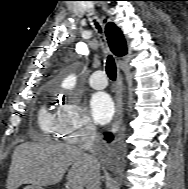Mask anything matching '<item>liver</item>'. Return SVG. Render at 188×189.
Returning <instances> with one entry per match:
<instances>
[{
  "mask_svg": "<svg viewBox=\"0 0 188 189\" xmlns=\"http://www.w3.org/2000/svg\"><path fill=\"white\" fill-rule=\"evenodd\" d=\"M69 166L67 184L72 189H84L93 164L79 147L54 142L22 143L13 152L7 189H17L23 184L38 189L54 185L60 182Z\"/></svg>",
  "mask_w": 188,
  "mask_h": 189,
  "instance_id": "obj_1",
  "label": "liver"
}]
</instances>
